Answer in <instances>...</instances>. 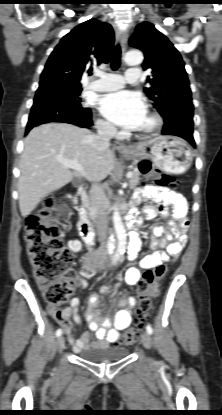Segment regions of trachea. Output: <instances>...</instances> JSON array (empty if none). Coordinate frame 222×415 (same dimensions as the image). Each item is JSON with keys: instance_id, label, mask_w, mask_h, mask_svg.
<instances>
[{"instance_id": "obj_1", "label": "trachea", "mask_w": 222, "mask_h": 415, "mask_svg": "<svg viewBox=\"0 0 222 415\" xmlns=\"http://www.w3.org/2000/svg\"><path fill=\"white\" fill-rule=\"evenodd\" d=\"M121 64V48L117 44L111 54L110 65L112 70H117Z\"/></svg>"}]
</instances>
